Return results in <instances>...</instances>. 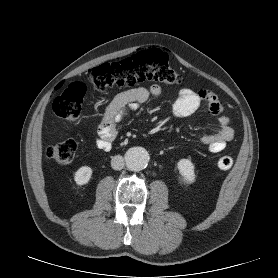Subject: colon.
Here are the masks:
<instances>
[{
  "label": "colon",
  "mask_w": 278,
  "mask_h": 278,
  "mask_svg": "<svg viewBox=\"0 0 278 278\" xmlns=\"http://www.w3.org/2000/svg\"><path fill=\"white\" fill-rule=\"evenodd\" d=\"M147 81L178 85L183 82V77L170 65L168 54L159 48L140 51L121 61L104 63L91 72V86L100 92L114 86L132 87ZM85 93V84H70L53 103L56 116L71 123L79 122ZM76 151L77 142L69 139L48 147L47 156L58 164H68L74 159ZM217 165L222 170H228L233 165V159L222 155Z\"/></svg>",
  "instance_id": "colon-1"
}]
</instances>
